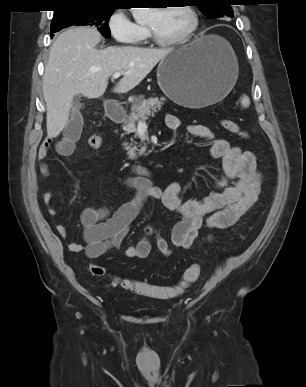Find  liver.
I'll return each mask as SVG.
<instances>
[{
	"label": "liver",
	"mask_w": 306,
	"mask_h": 387,
	"mask_svg": "<svg viewBox=\"0 0 306 387\" xmlns=\"http://www.w3.org/2000/svg\"><path fill=\"white\" fill-rule=\"evenodd\" d=\"M100 33L90 27H73L61 33L51 46L43 75L47 107V136L57 137L69 122L74 96L101 97L115 72L123 78L115 93L134 89L159 61L174 49L109 46L99 50Z\"/></svg>",
	"instance_id": "1"
}]
</instances>
